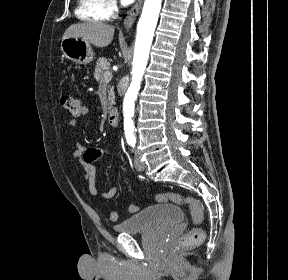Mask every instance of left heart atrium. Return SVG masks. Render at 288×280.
<instances>
[{"mask_svg": "<svg viewBox=\"0 0 288 280\" xmlns=\"http://www.w3.org/2000/svg\"><path fill=\"white\" fill-rule=\"evenodd\" d=\"M131 2H133V0H121V3H122L123 5H128V4H130Z\"/></svg>", "mask_w": 288, "mask_h": 280, "instance_id": "obj_1", "label": "left heart atrium"}]
</instances>
